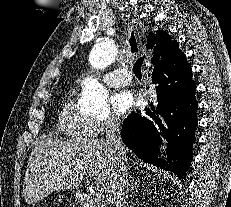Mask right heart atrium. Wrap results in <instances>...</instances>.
Here are the masks:
<instances>
[{
	"label": "right heart atrium",
	"instance_id": "obj_1",
	"mask_svg": "<svg viewBox=\"0 0 231 207\" xmlns=\"http://www.w3.org/2000/svg\"><path fill=\"white\" fill-rule=\"evenodd\" d=\"M92 122L94 134H103L117 129L122 123L121 119L115 114H109L106 117L95 119Z\"/></svg>",
	"mask_w": 231,
	"mask_h": 207
}]
</instances>
